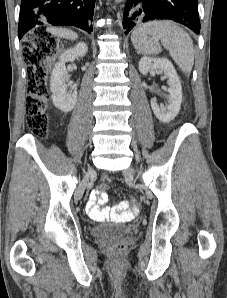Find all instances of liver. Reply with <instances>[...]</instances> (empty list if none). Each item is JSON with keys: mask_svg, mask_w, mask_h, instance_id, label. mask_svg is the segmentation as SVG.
Wrapping results in <instances>:
<instances>
[{"mask_svg": "<svg viewBox=\"0 0 227 298\" xmlns=\"http://www.w3.org/2000/svg\"><path fill=\"white\" fill-rule=\"evenodd\" d=\"M49 31L55 36L70 39V40H75L78 38V35L75 32L68 29L50 28Z\"/></svg>", "mask_w": 227, "mask_h": 298, "instance_id": "liver-1", "label": "liver"}]
</instances>
